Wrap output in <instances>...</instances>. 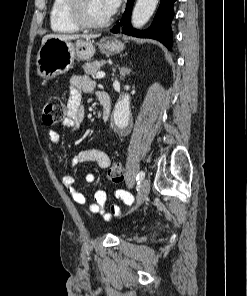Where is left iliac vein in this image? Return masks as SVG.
<instances>
[{"mask_svg": "<svg viewBox=\"0 0 247 296\" xmlns=\"http://www.w3.org/2000/svg\"><path fill=\"white\" fill-rule=\"evenodd\" d=\"M150 191V183L147 179L143 180L140 186V190L137 195V203L136 205L131 209V211L136 210L145 200L147 195L149 194Z\"/></svg>", "mask_w": 247, "mask_h": 296, "instance_id": "4c4485c4", "label": "left iliac vein"}]
</instances>
